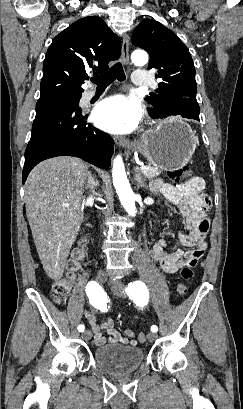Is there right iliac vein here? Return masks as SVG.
Listing matches in <instances>:
<instances>
[{
	"label": "right iliac vein",
	"mask_w": 243,
	"mask_h": 409,
	"mask_svg": "<svg viewBox=\"0 0 243 409\" xmlns=\"http://www.w3.org/2000/svg\"><path fill=\"white\" fill-rule=\"evenodd\" d=\"M96 280L100 284H104L107 280V276L104 272L100 271L96 275ZM92 337V332L90 330H85L82 334V338L86 341L90 340Z\"/></svg>",
	"instance_id": "1"
}]
</instances>
